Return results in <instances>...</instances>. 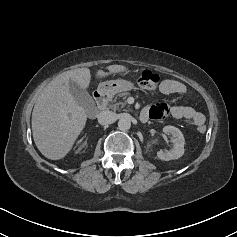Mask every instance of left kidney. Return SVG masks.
<instances>
[{
  "mask_svg": "<svg viewBox=\"0 0 237 237\" xmlns=\"http://www.w3.org/2000/svg\"><path fill=\"white\" fill-rule=\"evenodd\" d=\"M164 133L171 134L172 136V142H173V147L170 151L164 152L162 150L157 152L158 158L161 160H174V159H179L184 155V144H185V139L182 134V132L174 127V126H165L163 128Z\"/></svg>",
  "mask_w": 237,
  "mask_h": 237,
  "instance_id": "1",
  "label": "left kidney"
}]
</instances>
